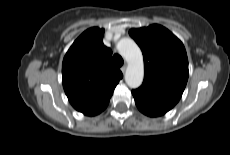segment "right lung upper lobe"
Wrapping results in <instances>:
<instances>
[{"label":"right lung upper lobe","mask_w":230,"mask_h":155,"mask_svg":"<svg viewBox=\"0 0 230 155\" xmlns=\"http://www.w3.org/2000/svg\"><path fill=\"white\" fill-rule=\"evenodd\" d=\"M104 29L83 32L67 51L62 64L64 91L71 105L87 116L104 111L122 72L111 61L103 44Z\"/></svg>","instance_id":"1"}]
</instances>
